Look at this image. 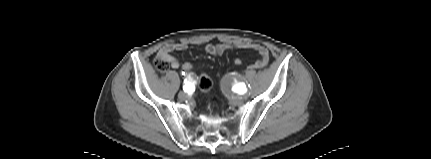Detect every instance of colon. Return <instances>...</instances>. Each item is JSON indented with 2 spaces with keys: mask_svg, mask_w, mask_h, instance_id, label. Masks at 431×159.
<instances>
[{
  "mask_svg": "<svg viewBox=\"0 0 431 159\" xmlns=\"http://www.w3.org/2000/svg\"><path fill=\"white\" fill-rule=\"evenodd\" d=\"M241 63H242V60L240 58L234 59V64L236 66H239ZM155 66L161 72H164L167 69V63L160 59H156ZM195 68H196V63L194 61H187L186 63H183V72L185 73H190ZM198 85L201 91H203L204 93H208L212 89L213 82L208 75L203 74L199 78ZM215 101L216 100H214V102Z\"/></svg>",
  "mask_w": 431,
  "mask_h": 159,
  "instance_id": "5ec220e1",
  "label": "colon"
}]
</instances>
